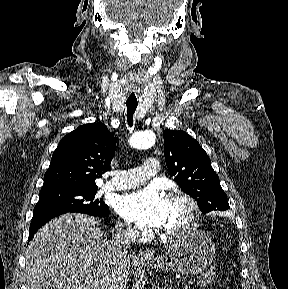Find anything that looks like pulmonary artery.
<instances>
[{
  "mask_svg": "<svg viewBox=\"0 0 288 289\" xmlns=\"http://www.w3.org/2000/svg\"><path fill=\"white\" fill-rule=\"evenodd\" d=\"M158 170V160L149 157L141 167L113 172L111 179L103 185V189L118 191L134 188L146 182L150 177L157 175Z\"/></svg>",
  "mask_w": 288,
  "mask_h": 289,
  "instance_id": "pulmonary-artery-1",
  "label": "pulmonary artery"
}]
</instances>
